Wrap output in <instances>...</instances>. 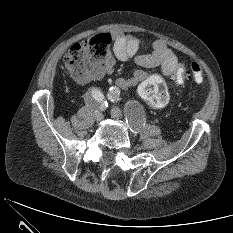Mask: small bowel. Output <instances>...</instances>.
Wrapping results in <instances>:
<instances>
[{"mask_svg":"<svg viewBox=\"0 0 233 233\" xmlns=\"http://www.w3.org/2000/svg\"><path fill=\"white\" fill-rule=\"evenodd\" d=\"M112 39L113 53L107 54L105 65L100 75L109 74L113 71L115 59L126 61L134 58L135 62L144 68L159 66L167 77H171L181 64L176 53L161 40L153 43L151 52L139 54L142 42L138 37L123 32H114L112 33ZM146 78V72L136 70L128 77L118 78L116 83L122 89H129L143 82Z\"/></svg>","mask_w":233,"mask_h":233,"instance_id":"obj_1","label":"small bowel"}]
</instances>
